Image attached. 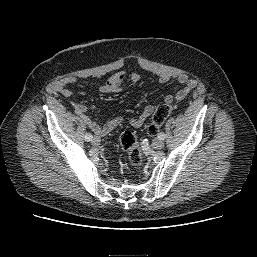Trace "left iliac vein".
Listing matches in <instances>:
<instances>
[{
  "mask_svg": "<svg viewBox=\"0 0 257 257\" xmlns=\"http://www.w3.org/2000/svg\"><path fill=\"white\" fill-rule=\"evenodd\" d=\"M163 146H164V142L162 140H160V139H156L152 143V147L154 149H162Z\"/></svg>",
  "mask_w": 257,
  "mask_h": 257,
  "instance_id": "obj_1",
  "label": "left iliac vein"
}]
</instances>
